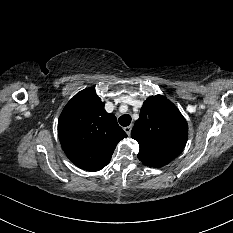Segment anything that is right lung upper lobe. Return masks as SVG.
<instances>
[{
  "mask_svg": "<svg viewBox=\"0 0 233 233\" xmlns=\"http://www.w3.org/2000/svg\"><path fill=\"white\" fill-rule=\"evenodd\" d=\"M58 135L67 157L87 171L104 168L118 142L127 137L92 88L80 91L67 103L59 117Z\"/></svg>",
  "mask_w": 233,
  "mask_h": 233,
  "instance_id": "1",
  "label": "right lung upper lobe"
}]
</instances>
